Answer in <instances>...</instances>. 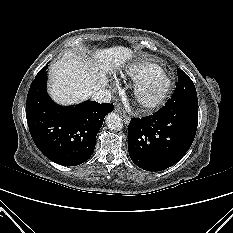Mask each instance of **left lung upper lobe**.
I'll list each match as a JSON object with an SVG mask.
<instances>
[{
    "label": "left lung upper lobe",
    "instance_id": "5c2ea615",
    "mask_svg": "<svg viewBox=\"0 0 233 233\" xmlns=\"http://www.w3.org/2000/svg\"><path fill=\"white\" fill-rule=\"evenodd\" d=\"M178 83L170 100L177 104L197 100V93L192 80L177 68Z\"/></svg>",
    "mask_w": 233,
    "mask_h": 233
}]
</instances>
